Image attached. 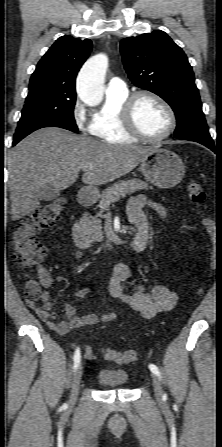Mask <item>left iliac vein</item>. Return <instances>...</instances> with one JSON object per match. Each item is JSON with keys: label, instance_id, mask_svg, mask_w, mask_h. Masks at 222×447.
Here are the masks:
<instances>
[{"label": "left iliac vein", "instance_id": "4c4485c4", "mask_svg": "<svg viewBox=\"0 0 222 447\" xmlns=\"http://www.w3.org/2000/svg\"><path fill=\"white\" fill-rule=\"evenodd\" d=\"M152 382H153L155 397L158 401H161L163 399V390H162L161 383H160L159 379L157 378V376L152 375Z\"/></svg>", "mask_w": 222, "mask_h": 447}]
</instances>
